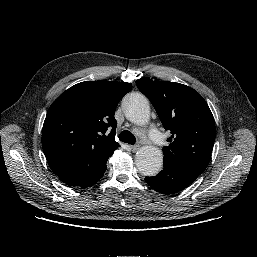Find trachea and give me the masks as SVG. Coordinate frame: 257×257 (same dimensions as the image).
<instances>
[{
  "label": "trachea",
  "instance_id": "obj_1",
  "mask_svg": "<svg viewBox=\"0 0 257 257\" xmlns=\"http://www.w3.org/2000/svg\"><path fill=\"white\" fill-rule=\"evenodd\" d=\"M119 140L128 144H135L136 138L135 136L128 130H124L119 135Z\"/></svg>",
  "mask_w": 257,
  "mask_h": 257
}]
</instances>
